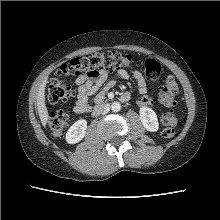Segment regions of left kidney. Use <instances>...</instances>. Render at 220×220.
<instances>
[{"label": "left kidney", "mask_w": 220, "mask_h": 220, "mask_svg": "<svg viewBox=\"0 0 220 220\" xmlns=\"http://www.w3.org/2000/svg\"><path fill=\"white\" fill-rule=\"evenodd\" d=\"M139 114L140 120L147 131L156 132L159 129L157 115L154 110L148 107H141Z\"/></svg>", "instance_id": "left-kidney-1"}]
</instances>
